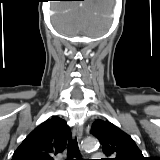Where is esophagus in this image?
Returning <instances> with one entry per match:
<instances>
[{
    "label": "esophagus",
    "instance_id": "obj_1",
    "mask_svg": "<svg viewBox=\"0 0 160 160\" xmlns=\"http://www.w3.org/2000/svg\"><path fill=\"white\" fill-rule=\"evenodd\" d=\"M83 135V127L81 125H76L73 128V136L77 137L78 140H81Z\"/></svg>",
    "mask_w": 160,
    "mask_h": 160
}]
</instances>
